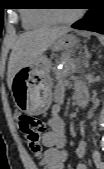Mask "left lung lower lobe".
Listing matches in <instances>:
<instances>
[{"mask_svg":"<svg viewBox=\"0 0 104 169\" xmlns=\"http://www.w3.org/2000/svg\"><path fill=\"white\" fill-rule=\"evenodd\" d=\"M72 28L104 33V12L100 8H92L81 20L74 23Z\"/></svg>","mask_w":104,"mask_h":169,"instance_id":"left-lung-lower-lobe-1","label":"left lung lower lobe"}]
</instances>
